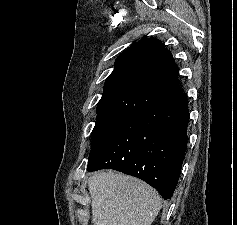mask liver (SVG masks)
Listing matches in <instances>:
<instances>
[{
  "instance_id": "6515ba94",
  "label": "liver",
  "mask_w": 237,
  "mask_h": 225,
  "mask_svg": "<svg viewBox=\"0 0 237 225\" xmlns=\"http://www.w3.org/2000/svg\"><path fill=\"white\" fill-rule=\"evenodd\" d=\"M88 188L93 225H151L162 207L154 188L121 173L94 174Z\"/></svg>"
}]
</instances>
